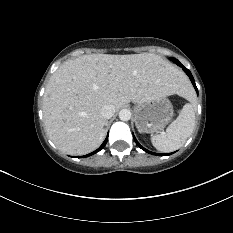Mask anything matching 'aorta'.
<instances>
[{
  "label": "aorta",
  "mask_w": 233,
  "mask_h": 233,
  "mask_svg": "<svg viewBox=\"0 0 233 233\" xmlns=\"http://www.w3.org/2000/svg\"><path fill=\"white\" fill-rule=\"evenodd\" d=\"M119 118L122 121H128L131 118V112L128 109H122L119 112Z\"/></svg>",
  "instance_id": "762f6f07"
}]
</instances>
